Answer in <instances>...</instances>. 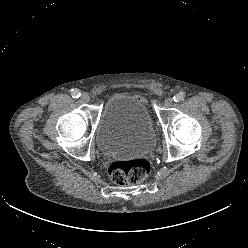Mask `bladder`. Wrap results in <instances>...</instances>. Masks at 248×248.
I'll list each match as a JSON object with an SVG mask.
<instances>
[{
    "label": "bladder",
    "instance_id": "1",
    "mask_svg": "<svg viewBox=\"0 0 248 248\" xmlns=\"http://www.w3.org/2000/svg\"><path fill=\"white\" fill-rule=\"evenodd\" d=\"M95 139L107 155H133L152 151L157 142L146 99L133 93H115L103 104Z\"/></svg>",
    "mask_w": 248,
    "mask_h": 248
}]
</instances>
